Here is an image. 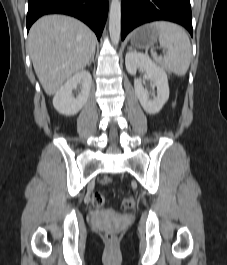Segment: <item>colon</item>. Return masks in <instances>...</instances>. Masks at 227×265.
<instances>
[{
    "label": "colon",
    "instance_id": "colon-1",
    "mask_svg": "<svg viewBox=\"0 0 227 265\" xmlns=\"http://www.w3.org/2000/svg\"><path fill=\"white\" fill-rule=\"evenodd\" d=\"M101 183L103 185L108 186L112 183V179L110 177H107V176L103 177L101 180ZM91 202L95 207H102L105 203V198L100 192L96 191L91 196ZM135 205H136V203H135V200L133 197H126L122 200L121 208L123 211L129 212L135 208ZM105 240L109 244H113L116 241V236L112 233H107L105 235Z\"/></svg>",
    "mask_w": 227,
    "mask_h": 265
}]
</instances>
